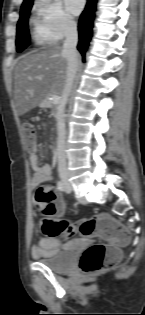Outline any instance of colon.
Instances as JSON below:
<instances>
[{"instance_id":"1","label":"colon","mask_w":145,"mask_h":315,"mask_svg":"<svg viewBox=\"0 0 145 315\" xmlns=\"http://www.w3.org/2000/svg\"><path fill=\"white\" fill-rule=\"evenodd\" d=\"M22 130L26 148L34 150L36 133L33 124L23 123ZM36 207L45 218L43 228L50 236H57L69 228L66 221L56 218L60 203L51 184H42L38 187ZM70 229L77 230L85 237L99 238L112 243L111 245L93 244L82 253L79 268L83 273H96L116 265L120 259V252L115 245L124 244L128 240L123 226L105 214L83 219Z\"/></svg>"}]
</instances>
